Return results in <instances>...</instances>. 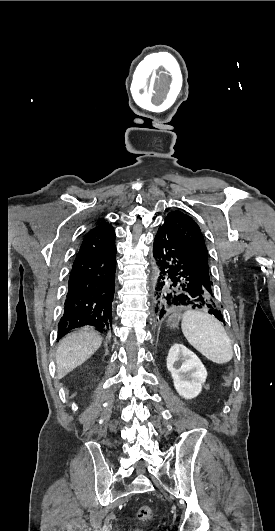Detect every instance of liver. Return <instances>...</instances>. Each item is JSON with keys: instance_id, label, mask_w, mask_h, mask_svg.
I'll return each mask as SVG.
<instances>
[{"instance_id": "obj_1", "label": "liver", "mask_w": 275, "mask_h": 531, "mask_svg": "<svg viewBox=\"0 0 275 531\" xmlns=\"http://www.w3.org/2000/svg\"><path fill=\"white\" fill-rule=\"evenodd\" d=\"M102 345V337L90 327H84L80 331H74L66 335L58 345L56 351V365L58 379L65 377L67 373L80 367L87 359H90Z\"/></svg>"}]
</instances>
